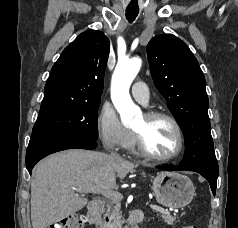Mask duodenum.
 Wrapping results in <instances>:
<instances>
[{
  "mask_svg": "<svg viewBox=\"0 0 238 228\" xmlns=\"http://www.w3.org/2000/svg\"><path fill=\"white\" fill-rule=\"evenodd\" d=\"M103 207L104 205L101 200H93L88 206L87 219L95 228H105ZM142 220L143 212L141 210H134L127 217L123 228H138V223Z\"/></svg>",
  "mask_w": 238,
  "mask_h": 228,
  "instance_id": "duodenum-1",
  "label": "duodenum"
}]
</instances>
